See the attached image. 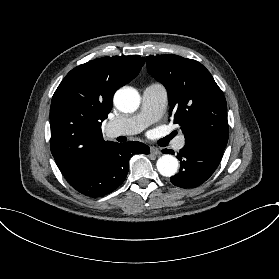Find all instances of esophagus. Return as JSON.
Listing matches in <instances>:
<instances>
[{"instance_id":"esophagus-1","label":"esophagus","mask_w":279,"mask_h":279,"mask_svg":"<svg viewBox=\"0 0 279 279\" xmlns=\"http://www.w3.org/2000/svg\"><path fill=\"white\" fill-rule=\"evenodd\" d=\"M150 153L152 155H159L161 152H160V150L157 147L151 146L150 147Z\"/></svg>"}]
</instances>
